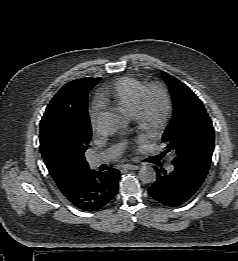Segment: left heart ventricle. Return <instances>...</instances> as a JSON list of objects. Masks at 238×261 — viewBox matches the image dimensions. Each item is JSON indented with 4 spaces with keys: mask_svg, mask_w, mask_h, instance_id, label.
<instances>
[{
    "mask_svg": "<svg viewBox=\"0 0 238 261\" xmlns=\"http://www.w3.org/2000/svg\"><path fill=\"white\" fill-rule=\"evenodd\" d=\"M163 107L162 98L158 93H154L150 99V115L152 120H155L161 114Z\"/></svg>",
    "mask_w": 238,
    "mask_h": 261,
    "instance_id": "left-heart-ventricle-1",
    "label": "left heart ventricle"
}]
</instances>
